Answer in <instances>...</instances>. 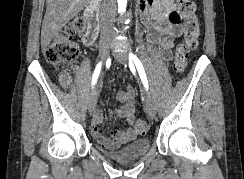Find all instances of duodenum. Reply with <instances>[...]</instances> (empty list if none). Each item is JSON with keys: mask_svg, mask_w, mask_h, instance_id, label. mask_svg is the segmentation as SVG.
<instances>
[{"mask_svg": "<svg viewBox=\"0 0 244 179\" xmlns=\"http://www.w3.org/2000/svg\"><path fill=\"white\" fill-rule=\"evenodd\" d=\"M85 17L90 21V34L88 37L93 42L95 40V32H96V26L94 23V19L98 14V2L97 0H89L87 2V6L84 10Z\"/></svg>", "mask_w": 244, "mask_h": 179, "instance_id": "duodenum-1", "label": "duodenum"}]
</instances>
